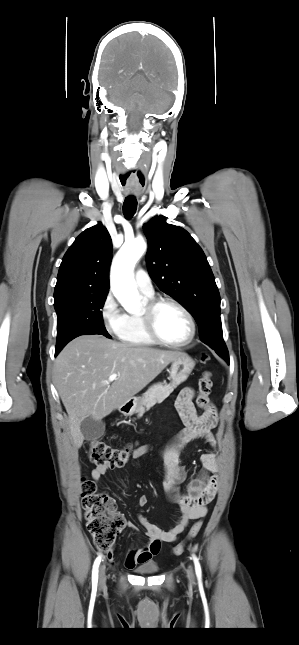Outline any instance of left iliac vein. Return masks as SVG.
<instances>
[{
  "mask_svg": "<svg viewBox=\"0 0 299 645\" xmlns=\"http://www.w3.org/2000/svg\"><path fill=\"white\" fill-rule=\"evenodd\" d=\"M186 572H187V577H188V579H189L191 582H193V581H194V573H193V568H192V566H189Z\"/></svg>",
  "mask_w": 299,
  "mask_h": 645,
  "instance_id": "1",
  "label": "left iliac vein"
}]
</instances>
